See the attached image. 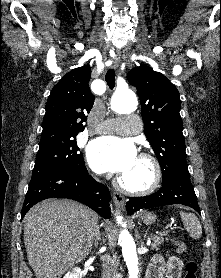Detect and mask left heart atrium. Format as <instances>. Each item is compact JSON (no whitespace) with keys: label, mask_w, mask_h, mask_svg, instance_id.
<instances>
[{"label":"left heart atrium","mask_w":221,"mask_h":278,"mask_svg":"<svg viewBox=\"0 0 221 278\" xmlns=\"http://www.w3.org/2000/svg\"><path fill=\"white\" fill-rule=\"evenodd\" d=\"M137 158L131 141L112 136H104L90 142L87 147V160L97 173L122 175Z\"/></svg>","instance_id":"obj_1"}]
</instances>
